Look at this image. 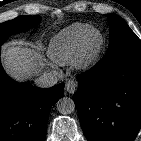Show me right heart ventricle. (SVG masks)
Wrapping results in <instances>:
<instances>
[{
  "instance_id": "e07e8e85",
  "label": "right heart ventricle",
  "mask_w": 141,
  "mask_h": 141,
  "mask_svg": "<svg viewBox=\"0 0 141 141\" xmlns=\"http://www.w3.org/2000/svg\"><path fill=\"white\" fill-rule=\"evenodd\" d=\"M91 28L87 23H73L57 33L48 46V55L51 60L59 65L73 62L85 34Z\"/></svg>"
}]
</instances>
